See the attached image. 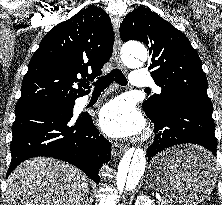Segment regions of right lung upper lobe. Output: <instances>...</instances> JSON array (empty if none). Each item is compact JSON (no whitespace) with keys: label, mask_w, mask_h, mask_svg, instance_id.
I'll use <instances>...</instances> for the list:
<instances>
[{"label":"right lung upper lobe","mask_w":222,"mask_h":205,"mask_svg":"<svg viewBox=\"0 0 222 205\" xmlns=\"http://www.w3.org/2000/svg\"><path fill=\"white\" fill-rule=\"evenodd\" d=\"M114 43L111 20L89 6L50 30L32 56L16 106L35 102H73L102 74Z\"/></svg>","instance_id":"obj_1"}]
</instances>
